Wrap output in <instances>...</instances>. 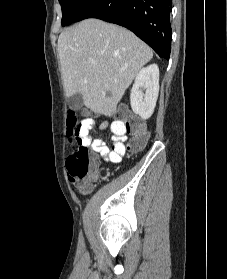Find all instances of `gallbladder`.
Masks as SVG:
<instances>
[{"label": "gallbladder", "instance_id": "gallbladder-1", "mask_svg": "<svg viewBox=\"0 0 227 279\" xmlns=\"http://www.w3.org/2000/svg\"><path fill=\"white\" fill-rule=\"evenodd\" d=\"M68 105L71 109L77 110L83 105V98L80 93L74 94L73 96L69 97Z\"/></svg>", "mask_w": 227, "mask_h": 279}]
</instances>
